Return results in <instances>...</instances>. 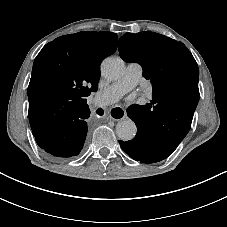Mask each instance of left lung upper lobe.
<instances>
[{"mask_svg": "<svg viewBox=\"0 0 227 227\" xmlns=\"http://www.w3.org/2000/svg\"><path fill=\"white\" fill-rule=\"evenodd\" d=\"M119 52L126 62H137L153 87L152 99L196 106L199 100L198 65L182 42L154 32L125 33Z\"/></svg>", "mask_w": 227, "mask_h": 227, "instance_id": "5c2ea615", "label": "left lung upper lobe"}]
</instances>
